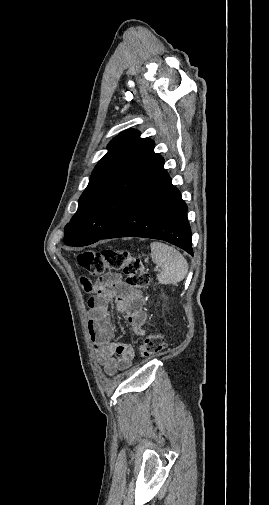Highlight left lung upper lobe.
I'll return each instance as SVG.
<instances>
[{
	"label": "left lung upper lobe",
	"mask_w": 269,
	"mask_h": 505,
	"mask_svg": "<svg viewBox=\"0 0 269 505\" xmlns=\"http://www.w3.org/2000/svg\"><path fill=\"white\" fill-rule=\"evenodd\" d=\"M154 142L127 130L108 145L79 199L78 210L65 226L64 243L85 246L100 240L130 200L151 157Z\"/></svg>",
	"instance_id": "5c2ea615"
}]
</instances>
